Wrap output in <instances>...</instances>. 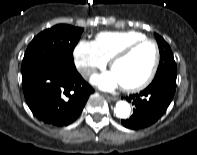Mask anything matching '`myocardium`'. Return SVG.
<instances>
[{"mask_svg": "<svg viewBox=\"0 0 197 155\" xmlns=\"http://www.w3.org/2000/svg\"><path fill=\"white\" fill-rule=\"evenodd\" d=\"M146 43L152 44L154 46V49H155V58H154L153 65H152L148 75L141 82H139L135 85H130V86L122 85L123 90L126 91V92H130V93L139 92V91L145 89L146 87H148L151 84V82L155 78V75L157 73V70H158V67H159V64H160L161 53H160L159 46H158V44L155 40L150 39V38L137 40V41L132 42V43L124 46L123 48H121L110 59V67L112 69L114 64L117 61L125 58L126 56L131 54L136 48H138L139 46L144 45Z\"/></svg>", "mask_w": 197, "mask_h": 155, "instance_id": "1", "label": "myocardium"}]
</instances>
